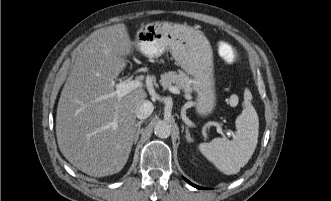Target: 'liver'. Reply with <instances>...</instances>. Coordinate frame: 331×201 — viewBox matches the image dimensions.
<instances>
[{
    "label": "liver",
    "mask_w": 331,
    "mask_h": 201,
    "mask_svg": "<svg viewBox=\"0 0 331 201\" xmlns=\"http://www.w3.org/2000/svg\"><path fill=\"white\" fill-rule=\"evenodd\" d=\"M133 46L123 23L100 30L79 51L62 89L56 115L57 143L64 157L87 175L118 173L129 158L136 108L147 93L137 88L121 99L111 94Z\"/></svg>",
    "instance_id": "1"
}]
</instances>
